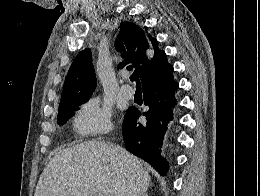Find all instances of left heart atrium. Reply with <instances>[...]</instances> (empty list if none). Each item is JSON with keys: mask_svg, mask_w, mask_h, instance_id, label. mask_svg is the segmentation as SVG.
<instances>
[{"mask_svg": "<svg viewBox=\"0 0 260 196\" xmlns=\"http://www.w3.org/2000/svg\"><path fill=\"white\" fill-rule=\"evenodd\" d=\"M124 190H108V192H123Z\"/></svg>", "mask_w": 260, "mask_h": 196, "instance_id": "1", "label": "left heart atrium"}]
</instances>
